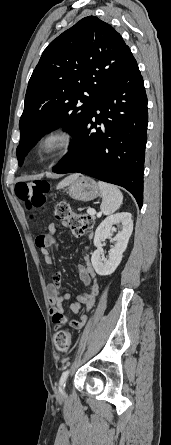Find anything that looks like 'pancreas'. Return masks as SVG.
<instances>
[{
	"label": "pancreas",
	"mask_w": 171,
	"mask_h": 445,
	"mask_svg": "<svg viewBox=\"0 0 171 445\" xmlns=\"http://www.w3.org/2000/svg\"><path fill=\"white\" fill-rule=\"evenodd\" d=\"M89 214V213H88ZM90 215V214H89ZM93 219L95 218L94 215H90Z\"/></svg>",
	"instance_id": "obj_1"
}]
</instances>
